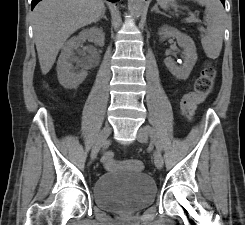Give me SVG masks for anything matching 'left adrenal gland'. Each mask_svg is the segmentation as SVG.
Instances as JSON below:
<instances>
[{"label": "left adrenal gland", "mask_w": 245, "mask_h": 225, "mask_svg": "<svg viewBox=\"0 0 245 225\" xmlns=\"http://www.w3.org/2000/svg\"><path fill=\"white\" fill-rule=\"evenodd\" d=\"M152 12L155 11L156 13H160V14H163L161 11H159L158 9V6L157 5H154V7L152 8L151 10Z\"/></svg>", "instance_id": "a2214340"}]
</instances>
